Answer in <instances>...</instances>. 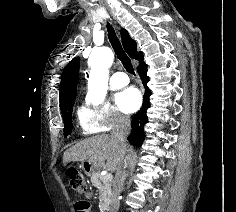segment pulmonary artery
<instances>
[{
    "mask_svg": "<svg viewBox=\"0 0 236 212\" xmlns=\"http://www.w3.org/2000/svg\"><path fill=\"white\" fill-rule=\"evenodd\" d=\"M128 83V76L124 72H117L111 77L109 85L111 89H119L124 87Z\"/></svg>",
    "mask_w": 236,
    "mask_h": 212,
    "instance_id": "pulmonary-artery-1",
    "label": "pulmonary artery"
}]
</instances>
